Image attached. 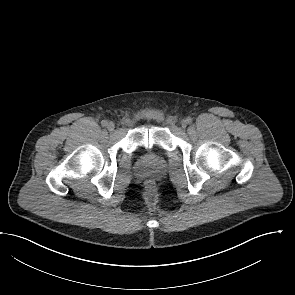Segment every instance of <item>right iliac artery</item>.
Masks as SVG:
<instances>
[{
  "label": "right iliac artery",
  "mask_w": 295,
  "mask_h": 295,
  "mask_svg": "<svg viewBox=\"0 0 295 295\" xmlns=\"http://www.w3.org/2000/svg\"><path fill=\"white\" fill-rule=\"evenodd\" d=\"M107 121L106 120H102V122H101V125L104 127V126H107Z\"/></svg>",
  "instance_id": "obj_1"
}]
</instances>
